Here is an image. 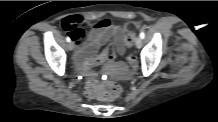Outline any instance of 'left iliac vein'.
Instances as JSON below:
<instances>
[{
  "label": "left iliac vein",
  "instance_id": "obj_1",
  "mask_svg": "<svg viewBox=\"0 0 218 122\" xmlns=\"http://www.w3.org/2000/svg\"><path fill=\"white\" fill-rule=\"evenodd\" d=\"M135 44L136 47L140 49L142 47V39L140 37L136 38Z\"/></svg>",
  "mask_w": 218,
  "mask_h": 122
}]
</instances>
